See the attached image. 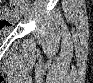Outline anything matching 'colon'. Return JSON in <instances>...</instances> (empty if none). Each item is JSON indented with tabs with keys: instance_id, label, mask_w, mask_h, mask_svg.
<instances>
[{
	"instance_id": "obj_1",
	"label": "colon",
	"mask_w": 93,
	"mask_h": 83,
	"mask_svg": "<svg viewBox=\"0 0 93 83\" xmlns=\"http://www.w3.org/2000/svg\"><path fill=\"white\" fill-rule=\"evenodd\" d=\"M14 1H3L2 2V6H1V19L3 21H12L13 18V14L16 12V10H13L11 8H9V6H12L11 4H13Z\"/></svg>"
}]
</instances>
